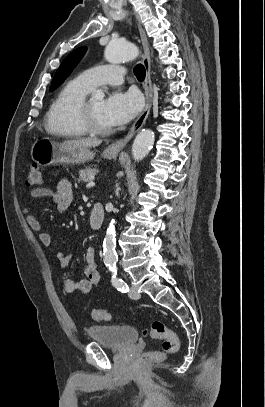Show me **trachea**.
Masks as SVG:
<instances>
[{
  "mask_svg": "<svg viewBox=\"0 0 265 407\" xmlns=\"http://www.w3.org/2000/svg\"><path fill=\"white\" fill-rule=\"evenodd\" d=\"M134 74L136 76V78L138 79V81H143L145 78V68L142 64H138L135 68H134Z\"/></svg>",
  "mask_w": 265,
  "mask_h": 407,
  "instance_id": "3493384b",
  "label": "trachea"
}]
</instances>
